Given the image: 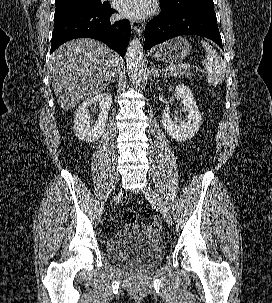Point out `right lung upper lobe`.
<instances>
[{"label": "right lung upper lobe", "instance_id": "right-lung-upper-lobe-1", "mask_svg": "<svg viewBox=\"0 0 272 303\" xmlns=\"http://www.w3.org/2000/svg\"><path fill=\"white\" fill-rule=\"evenodd\" d=\"M63 1H67V0H56V2H63Z\"/></svg>", "mask_w": 272, "mask_h": 303}]
</instances>
